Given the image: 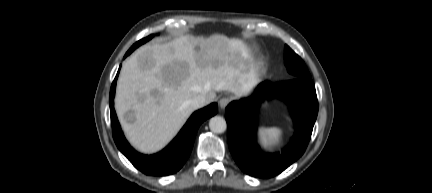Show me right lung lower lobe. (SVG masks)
Here are the masks:
<instances>
[{"label": "right lung lower lobe", "instance_id": "1", "mask_svg": "<svg viewBox=\"0 0 432 193\" xmlns=\"http://www.w3.org/2000/svg\"><path fill=\"white\" fill-rule=\"evenodd\" d=\"M129 54L127 52L125 57ZM118 73L112 83L109 100L112 134L118 149L137 169L147 175L164 176L177 172L191 153L200 124L217 113V104L213 103L193 113L176 138L164 150L154 155H143L136 152L126 141L114 110V95Z\"/></svg>", "mask_w": 432, "mask_h": 193}]
</instances>
